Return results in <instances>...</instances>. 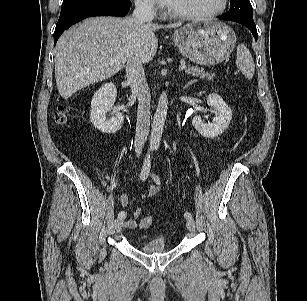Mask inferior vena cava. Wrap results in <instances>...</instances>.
Returning <instances> with one entry per match:
<instances>
[{"mask_svg":"<svg viewBox=\"0 0 307 301\" xmlns=\"http://www.w3.org/2000/svg\"><path fill=\"white\" fill-rule=\"evenodd\" d=\"M132 18L140 26L151 23L154 13L148 3H136ZM127 80L131 86L132 94L138 99L137 123L134 140V148L140 155L147 140L150 129V101L151 94L145 78L144 68L134 51L127 55L126 60Z\"/></svg>","mask_w":307,"mask_h":301,"instance_id":"602c4592","label":"inferior vena cava"}]
</instances>
